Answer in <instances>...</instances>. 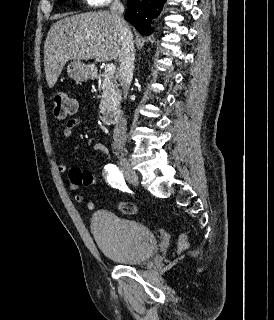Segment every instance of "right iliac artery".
<instances>
[{"instance_id":"82829eb1","label":"right iliac artery","mask_w":274,"mask_h":320,"mask_svg":"<svg viewBox=\"0 0 274 320\" xmlns=\"http://www.w3.org/2000/svg\"><path fill=\"white\" fill-rule=\"evenodd\" d=\"M106 170L109 174L108 181L113 188H118L119 190L132 193V191L127 187L124 177L117 166L114 164H108L106 165Z\"/></svg>"}]
</instances>
